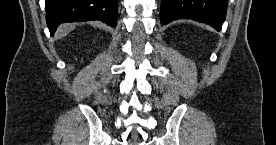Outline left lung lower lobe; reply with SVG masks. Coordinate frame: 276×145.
<instances>
[{"label":"left lung lower lobe","instance_id":"obj_1","mask_svg":"<svg viewBox=\"0 0 276 145\" xmlns=\"http://www.w3.org/2000/svg\"><path fill=\"white\" fill-rule=\"evenodd\" d=\"M228 0H162L161 23L176 19L204 22L220 31L225 21Z\"/></svg>","mask_w":276,"mask_h":145}]
</instances>
